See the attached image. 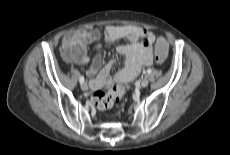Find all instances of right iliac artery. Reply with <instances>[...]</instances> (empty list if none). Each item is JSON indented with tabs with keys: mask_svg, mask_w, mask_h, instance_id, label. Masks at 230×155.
I'll return each instance as SVG.
<instances>
[{
	"mask_svg": "<svg viewBox=\"0 0 230 155\" xmlns=\"http://www.w3.org/2000/svg\"><path fill=\"white\" fill-rule=\"evenodd\" d=\"M79 81H80L81 84L84 83V77L81 76L80 79H79Z\"/></svg>",
	"mask_w": 230,
	"mask_h": 155,
	"instance_id": "obj_1",
	"label": "right iliac artery"
}]
</instances>
